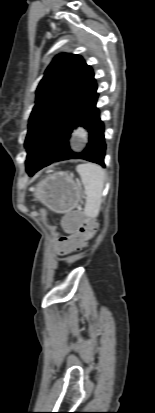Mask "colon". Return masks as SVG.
<instances>
[{
	"instance_id": "obj_1",
	"label": "colon",
	"mask_w": 155,
	"mask_h": 413,
	"mask_svg": "<svg viewBox=\"0 0 155 413\" xmlns=\"http://www.w3.org/2000/svg\"><path fill=\"white\" fill-rule=\"evenodd\" d=\"M64 225L72 231L73 235L55 239L53 245L55 248H67L71 252H81L87 246L88 238L96 230L95 222L91 219H84L80 215L71 214L64 219ZM68 251H62V256H68Z\"/></svg>"
}]
</instances>
